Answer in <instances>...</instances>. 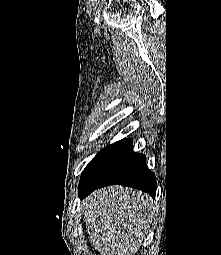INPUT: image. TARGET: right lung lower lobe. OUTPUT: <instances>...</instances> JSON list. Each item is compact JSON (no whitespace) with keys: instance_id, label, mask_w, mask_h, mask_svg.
Returning <instances> with one entry per match:
<instances>
[{"instance_id":"right-lung-lower-lobe-1","label":"right lung lower lobe","mask_w":221,"mask_h":255,"mask_svg":"<svg viewBox=\"0 0 221 255\" xmlns=\"http://www.w3.org/2000/svg\"><path fill=\"white\" fill-rule=\"evenodd\" d=\"M125 185L156 194V178L146 165V156L134 153L132 140L123 139L102 149L84 169L79 196L108 185Z\"/></svg>"}]
</instances>
